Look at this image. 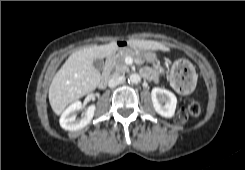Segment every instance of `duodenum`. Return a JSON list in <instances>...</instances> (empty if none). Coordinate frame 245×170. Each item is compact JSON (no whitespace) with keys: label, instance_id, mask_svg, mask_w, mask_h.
Instances as JSON below:
<instances>
[{"label":"duodenum","instance_id":"duodenum-1","mask_svg":"<svg viewBox=\"0 0 245 170\" xmlns=\"http://www.w3.org/2000/svg\"><path fill=\"white\" fill-rule=\"evenodd\" d=\"M128 46H129V43L127 41H117L116 43H114L113 50L107 56L106 61H105V66H104L100 84H99L101 89H105L107 87L108 82L112 76L114 58H115L116 53L121 49L127 48Z\"/></svg>","mask_w":245,"mask_h":170}]
</instances>
